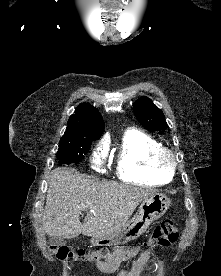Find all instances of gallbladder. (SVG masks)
<instances>
[{
  "label": "gallbladder",
  "mask_w": 221,
  "mask_h": 276,
  "mask_svg": "<svg viewBox=\"0 0 221 276\" xmlns=\"http://www.w3.org/2000/svg\"><path fill=\"white\" fill-rule=\"evenodd\" d=\"M49 243L53 246L59 247L66 244V240L59 236H53L50 238Z\"/></svg>",
  "instance_id": "obj_1"
}]
</instances>
